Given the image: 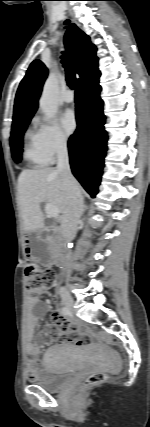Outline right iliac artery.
<instances>
[{"mask_svg": "<svg viewBox=\"0 0 150 427\" xmlns=\"http://www.w3.org/2000/svg\"><path fill=\"white\" fill-rule=\"evenodd\" d=\"M61 311H62L63 315H68V313H69V310L66 307H63L61 309Z\"/></svg>", "mask_w": 150, "mask_h": 427, "instance_id": "82829eb1", "label": "right iliac artery"}]
</instances>
